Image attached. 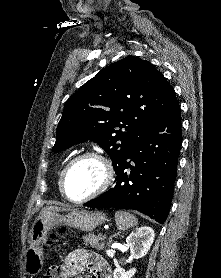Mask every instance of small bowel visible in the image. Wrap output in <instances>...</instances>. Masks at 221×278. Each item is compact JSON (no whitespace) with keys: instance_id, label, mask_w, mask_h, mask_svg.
<instances>
[{"instance_id":"small-bowel-1","label":"small bowel","mask_w":221,"mask_h":278,"mask_svg":"<svg viewBox=\"0 0 221 278\" xmlns=\"http://www.w3.org/2000/svg\"><path fill=\"white\" fill-rule=\"evenodd\" d=\"M60 268L59 278H81L85 270L90 272V278H111L109 265L99 255L86 249L71 251ZM44 278L51 277L47 273Z\"/></svg>"}]
</instances>
